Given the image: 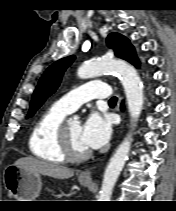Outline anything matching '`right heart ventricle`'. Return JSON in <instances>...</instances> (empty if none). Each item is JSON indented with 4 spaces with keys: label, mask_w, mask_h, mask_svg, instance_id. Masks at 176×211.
I'll list each match as a JSON object with an SVG mask.
<instances>
[{
    "label": "right heart ventricle",
    "mask_w": 176,
    "mask_h": 211,
    "mask_svg": "<svg viewBox=\"0 0 176 211\" xmlns=\"http://www.w3.org/2000/svg\"><path fill=\"white\" fill-rule=\"evenodd\" d=\"M69 114L58 103L48 107L37 119L29 136L31 154L41 160L64 164L66 159L62 154L58 141V128Z\"/></svg>",
    "instance_id": "e07e8e85"
}]
</instances>
